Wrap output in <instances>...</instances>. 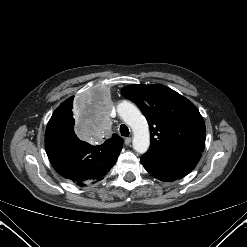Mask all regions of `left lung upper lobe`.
<instances>
[{"mask_svg": "<svg viewBox=\"0 0 247 247\" xmlns=\"http://www.w3.org/2000/svg\"><path fill=\"white\" fill-rule=\"evenodd\" d=\"M121 92L137 104L148 121L149 151L178 154L204 150L205 124L188 99L163 85H130Z\"/></svg>", "mask_w": 247, "mask_h": 247, "instance_id": "obj_1", "label": "left lung upper lobe"}]
</instances>
